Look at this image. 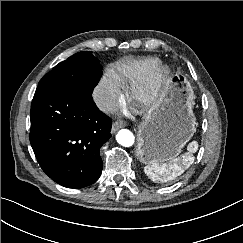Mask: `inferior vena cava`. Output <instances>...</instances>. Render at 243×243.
<instances>
[{
	"label": "inferior vena cava",
	"instance_id": "obj_1",
	"mask_svg": "<svg viewBox=\"0 0 243 243\" xmlns=\"http://www.w3.org/2000/svg\"><path fill=\"white\" fill-rule=\"evenodd\" d=\"M93 99L97 107L104 112H111L116 108L115 100L101 91H94Z\"/></svg>",
	"mask_w": 243,
	"mask_h": 243
}]
</instances>
